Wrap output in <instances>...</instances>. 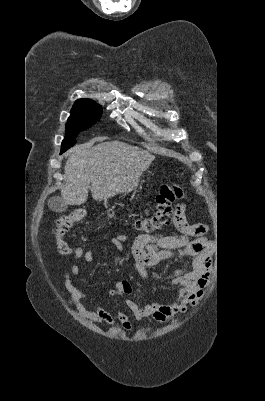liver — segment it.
Returning a JSON list of instances; mask_svg holds the SVG:
<instances>
[{
	"label": "liver",
	"instance_id": "1",
	"mask_svg": "<svg viewBox=\"0 0 265 401\" xmlns=\"http://www.w3.org/2000/svg\"><path fill=\"white\" fill-rule=\"evenodd\" d=\"M93 138L69 150L61 198L66 205H83L91 188L94 201L124 192L154 160V154L120 140L99 142ZM91 184V186H90Z\"/></svg>",
	"mask_w": 265,
	"mask_h": 401
}]
</instances>
